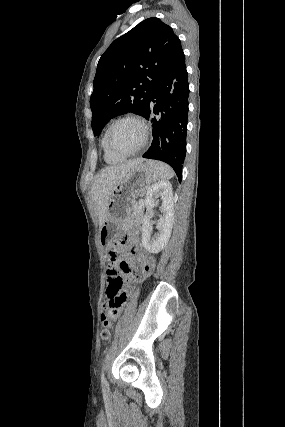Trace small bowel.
Masks as SVG:
<instances>
[{
	"instance_id": "c3829d8e",
	"label": "small bowel",
	"mask_w": 285,
	"mask_h": 427,
	"mask_svg": "<svg viewBox=\"0 0 285 427\" xmlns=\"http://www.w3.org/2000/svg\"><path fill=\"white\" fill-rule=\"evenodd\" d=\"M138 231H139V227H135L133 229V234L136 236L138 234ZM133 242L135 244H137V240L136 239H134ZM133 260L136 263H150L151 262V267H153V263H152L150 257L145 252L141 251L139 247L137 248V252H136L135 257H134ZM124 261H126V258H123V260H121V261H116L114 263V266L121 268V266H120L121 262H124ZM113 293H114V296H117V297H120L122 295V291H118V290L114 291ZM126 305H127V303H126V301L124 299L123 303L121 304L120 308L118 309V314L116 316V319L119 317V315L124 310V308L126 307Z\"/></svg>"
}]
</instances>
